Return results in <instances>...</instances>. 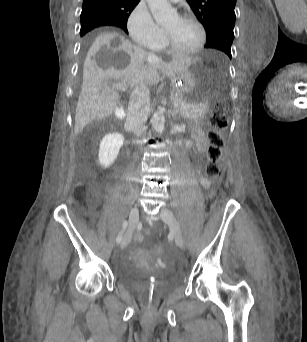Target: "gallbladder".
I'll use <instances>...</instances> for the list:
<instances>
[{"label":"gallbladder","mask_w":307,"mask_h":342,"mask_svg":"<svg viewBox=\"0 0 307 342\" xmlns=\"http://www.w3.org/2000/svg\"><path fill=\"white\" fill-rule=\"evenodd\" d=\"M114 112H115V117L116 118H121L122 117V112H123V109H122V107L118 104L116 107H115V109H114Z\"/></svg>","instance_id":"1"}]
</instances>
